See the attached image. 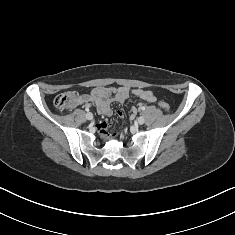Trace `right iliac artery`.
Returning a JSON list of instances; mask_svg holds the SVG:
<instances>
[{"label": "right iliac artery", "instance_id": "82829eb1", "mask_svg": "<svg viewBox=\"0 0 235 235\" xmlns=\"http://www.w3.org/2000/svg\"><path fill=\"white\" fill-rule=\"evenodd\" d=\"M85 110H86L87 112H89V108H86Z\"/></svg>", "mask_w": 235, "mask_h": 235}]
</instances>
